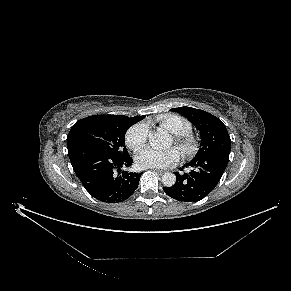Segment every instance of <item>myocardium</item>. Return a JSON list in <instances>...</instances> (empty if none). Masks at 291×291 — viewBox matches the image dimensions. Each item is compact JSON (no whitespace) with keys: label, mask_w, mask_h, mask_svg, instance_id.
I'll return each instance as SVG.
<instances>
[{"label":"myocardium","mask_w":291,"mask_h":291,"mask_svg":"<svg viewBox=\"0 0 291 291\" xmlns=\"http://www.w3.org/2000/svg\"><path fill=\"white\" fill-rule=\"evenodd\" d=\"M174 141L184 157H191L198 151V138L190 132L174 135Z\"/></svg>","instance_id":"obj_1"}]
</instances>
